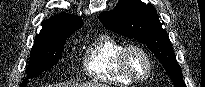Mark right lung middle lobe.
Returning <instances> with one entry per match:
<instances>
[{
    "instance_id": "right-lung-middle-lobe-1",
    "label": "right lung middle lobe",
    "mask_w": 205,
    "mask_h": 87,
    "mask_svg": "<svg viewBox=\"0 0 205 87\" xmlns=\"http://www.w3.org/2000/svg\"><path fill=\"white\" fill-rule=\"evenodd\" d=\"M67 38L34 42L30 52V62L27 71L28 77H37L43 71L56 66L62 55ZM26 83L27 79L23 81L21 86H25Z\"/></svg>"
}]
</instances>
